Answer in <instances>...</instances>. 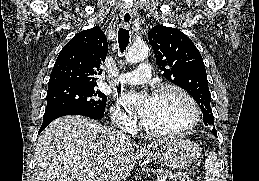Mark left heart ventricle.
Returning <instances> with one entry per match:
<instances>
[{
	"mask_svg": "<svg viewBox=\"0 0 259 181\" xmlns=\"http://www.w3.org/2000/svg\"><path fill=\"white\" fill-rule=\"evenodd\" d=\"M143 120L155 130H177L189 124L191 111L179 94L169 91L153 97L150 110Z\"/></svg>",
	"mask_w": 259,
	"mask_h": 181,
	"instance_id": "left-heart-ventricle-1",
	"label": "left heart ventricle"
}]
</instances>
